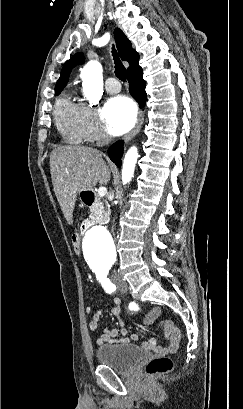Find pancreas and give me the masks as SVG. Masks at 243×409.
<instances>
[{
    "instance_id": "cf45deb5",
    "label": "pancreas",
    "mask_w": 243,
    "mask_h": 409,
    "mask_svg": "<svg viewBox=\"0 0 243 409\" xmlns=\"http://www.w3.org/2000/svg\"><path fill=\"white\" fill-rule=\"evenodd\" d=\"M110 211L100 202L91 208L90 218L98 223H104L108 220Z\"/></svg>"
}]
</instances>
